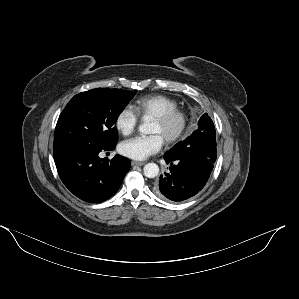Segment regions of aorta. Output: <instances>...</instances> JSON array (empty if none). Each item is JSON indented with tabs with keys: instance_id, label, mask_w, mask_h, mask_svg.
Instances as JSON below:
<instances>
[{
	"instance_id": "aorta-1",
	"label": "aorta",
	"mask_w": 299,
	"mask_h": 299,
	"mask_svg": "<svg viewBox=\"0 0 299 299\" xmlns=\"http://www.w3.org/2000/svg\"><path fill=\"white\" fill-rule=\"evenodd\" d=\"M139 131L142 134H151L153 133V128L150 123L144 122L139 125ZM144 175L148 178H154L159 173V167L155 163H148L143 168Z\"/></svg>"
}]
</instances>
